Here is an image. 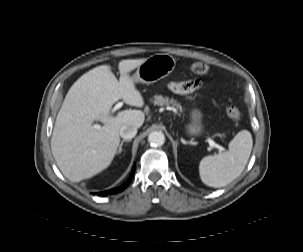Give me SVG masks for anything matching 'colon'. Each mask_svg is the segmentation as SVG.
<instances>
[{"instance_id":"5ec220e1","label":"colon","mask_w":303,"mask_h":252,"mask_svg":"<svg viewBox=\"0 0 303 252\" xmlns=\"http://www.w3.org/2000/svg\"><path fill=\"white\" fill-rule=\"evenodd\" d=\"M190 70L196 75H206L209 73V66L202 62H193L190 65ZM226 112L229 119L236 125L240 124L243 115L242 112L235 106L229 104L226 107Z\"/></svg>"}]
</instances>
